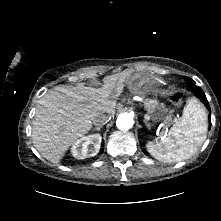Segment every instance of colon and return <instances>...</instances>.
<instances>
[{
	"label": "colon",
	"mask_w": 221,
	"mask_h": 221,
	"mask_svg": "<svg viewBox=\"0 0 221 221\" xmlns=\"http://www.w3.org/2000/svg\"><path fill=\"white\" fill-rule=\"evenodd\" d=\"M171 100L175 105L179 106L181 103V96L179 94H175L171 97Z\"/></svg>",
	"instance_id": "colon-1"
}]
</instances>
